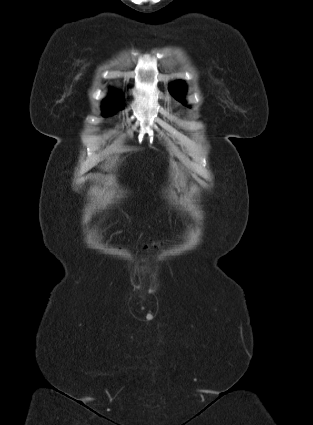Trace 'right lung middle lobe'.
I'll use <instances>...</instances> for the list:
<instances>
[{
	"label": "right lung middle lobe",
	"instance_id": "1",
	"mask_svg": "<svg viewBox=\"0 0 313 425\" xmlns=\"http://www.w3.org/2000/svg\"><path fill=\"white\" fill-rule=\"evenodd\" d=\"M122 109V105L118 102H104L103 103V116H110L115 114L118 110Z\"/></svg>",
	"mask_w": 313,
	"mask_h": 425
}]
</instances>
